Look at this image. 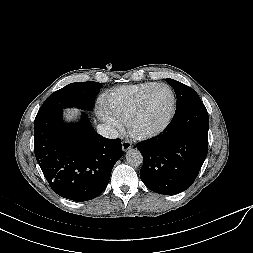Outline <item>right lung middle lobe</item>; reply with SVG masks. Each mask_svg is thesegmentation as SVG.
Returning <instances> with one entry per match:
<instances>
[{"instance_id": "obj_1", "label": "right lung middle lobe", "mask_w": 253, "mask_h": 253, "mask_svg": "<svg viewBox=\"0 0 253 253\" xmlns=\"http://www.w3.org/2000/svg\"><path fill=\"white\" fill-rule=\"evenodd\" d=\"M101 87V83L91 81L71 83L52 93L40 109L77 107L90 110Z\"/></svg>"}]
</instances>
